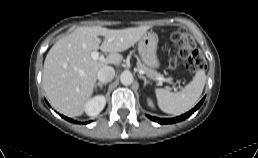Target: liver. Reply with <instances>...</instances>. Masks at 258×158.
Here are the masks:
<instances>
[{
  "label": "liver",
  "instance_id": "liver-1",
  "mask_svg": "<svg viewBox=\"0 0 258 158\" xmlns=\"http://www.w3.org/2000/svg\"><path fill=\"white\" fill-rule=\"evenodd\" d=\"M148 29L84 26L58 40L45 58L42 76L51 105L66 116H80L93 94L98 71L108 64H120L123 57L118 53L133 46ZM98 36H104L101 45ZM99 48L109 53L104 61L91 58V53Z\"/></svg>",
  "mask_w": 258,
  "mask_h": 158
}]
</instances>
